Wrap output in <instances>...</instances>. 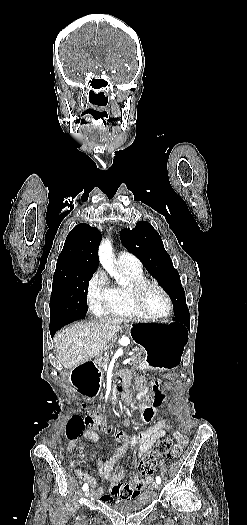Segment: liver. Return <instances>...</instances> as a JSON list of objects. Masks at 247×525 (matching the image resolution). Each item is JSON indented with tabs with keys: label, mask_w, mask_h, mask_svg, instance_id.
I'll return each instance as SVG.
<instances>
[{
	"label": "liver",
	"mask_w": 247,
	"mask_h": 525,
	"mask_svg": "<svg viewBox=\"0 0 247 525\" xmlns=\"http://www.w3.org/2000/svg\"><path fill=\"white\" fill-rule=\"evenodd\" d=\"M119 321L97 319L91 323H75L54 335L56 357L64 369H74L101 355L110 339L119 333Z\"/></svg>",
	"instance_id": "1"
}]
</instances>
